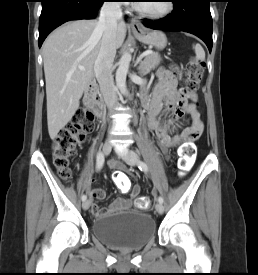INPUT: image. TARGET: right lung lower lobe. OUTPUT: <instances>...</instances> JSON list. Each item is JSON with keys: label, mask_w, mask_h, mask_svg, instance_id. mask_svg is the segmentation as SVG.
Returning <instances> with one entry per match:
<instances>
[{"label": "right lung lower lobe", "mask_w": 258, "mask_h": 275, "mask_svg": "<svg viewBox=\"0 0 258 275\" xmlns=\"http://www.w3.org/2000/svg\"><path fill=\"white\" fill-rule=\"evenodd\" d=\"M105 0H41L39 47L48 34L69 20L92 19Z\"/></svg>", "instance_id": "obj_1"}]
</instances>
